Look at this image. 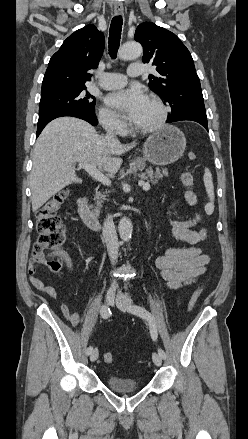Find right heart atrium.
Segmentation results:
<instances>
[{
	"label": "right heart atrium",
	"mask_w": 248,
	"mask_h": 439,
	"mask_svg": "<svg viewBox=\"0 0 248 439\" xmlns=\"http://www.w3.org/2000/svg\"><path fill=\"white\" fill-rule=\"evenodd\" d=\"M100 125L108 132L120 135L126 130V123L114 111L106 107H101L98 111Z\"/></svg>",
	"instance_id": "d8ad5b80"
}]
</instances>
